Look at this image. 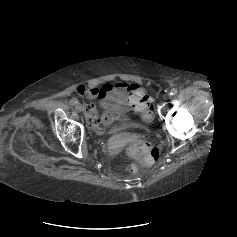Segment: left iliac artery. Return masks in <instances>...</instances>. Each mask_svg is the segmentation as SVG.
<instances>
[{
    "label": "left iliac artery",
    "instance_id": "44dca946",
    "mask_svg": "<svg viewBox=\"0 0 237 237\" xmlns=\"http://www.w3.org/2000/svg\"><path fill=\"white\" fill-rule=\"evenodd\" d=\"M177 94V90L175 88L171 89L170 95L174 96Z\"/></svg>",
    "mask_w": 237,
    "mask_h": 237
}]
</instances>
